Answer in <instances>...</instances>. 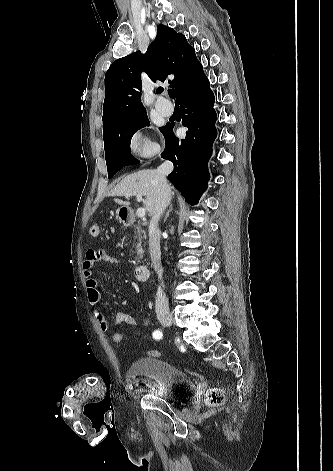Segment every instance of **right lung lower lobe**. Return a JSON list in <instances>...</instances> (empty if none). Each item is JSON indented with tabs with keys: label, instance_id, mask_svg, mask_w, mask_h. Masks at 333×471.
<instances>
[{
	"label": "right lung lower lobe",
	"instance_id": "1",
	"mask_svg": "<svg viewBox=\"0 0 333 471\" xmlns=\"http://www.w3.org/2000/svg\"><path fill=\"white\" fill-rule=\"evenodd\" d=\"M182 124L188 128L186 138L179 140L172 132L174 124H166L164 159L173 162L174 170L169 181L191 205L198 203L207 189V163L212 154V144L217 136L214 94L205 74L200 75L179 98Z\"/></svg>",
	"mask_w": 333,
	"mask_h": 471
}]
</instances>
